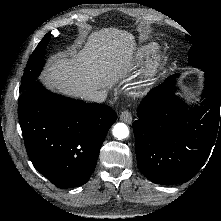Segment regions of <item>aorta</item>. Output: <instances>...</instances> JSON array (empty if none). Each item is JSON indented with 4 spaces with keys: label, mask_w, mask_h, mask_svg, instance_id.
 Returning a JSON list of instances; mask_svg holds the SVG:
<instances>
[{
    "label": "aorta",
    "mask_w": 221,
    "mask_h": 221,
    "mask_svg": "<svg viewBox=\"0 0 221 221\" xmlns=\"http://www.w3.org/2000/svg\"><path fill=\"white\" fill-rule=\"evenodd\" d=\"M113 136L118 140L125 139L129 136L128 126L124 123H117L112 129Z\"/></svg>",
    "instance_id": "762f6f07"
}]
</instances>
